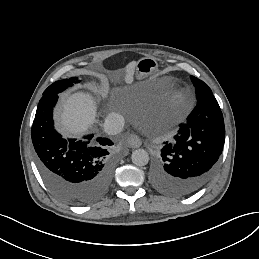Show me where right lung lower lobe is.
Segmentation results:
<instances>
[{
    "instance_id": "obj_1",
    "label": "right lung lower lobe",
    "mask_w": 259,
    "mask_h": 259,
    "mask_svg": "<svg viewBox=\"0 0 259 259\" xmlns=\"http://www.w3.org/2000/svg\"><path fill=\"white\" fill-rule=\"evenodd\" d=\"M58 94L43 96L38 104L31 136L36 163L46 184L61 200L87 205L108 191L113 175L107 138L85 136L86 141L63 139L53 126V107Z\"/></svg>"
}]
</instances>
